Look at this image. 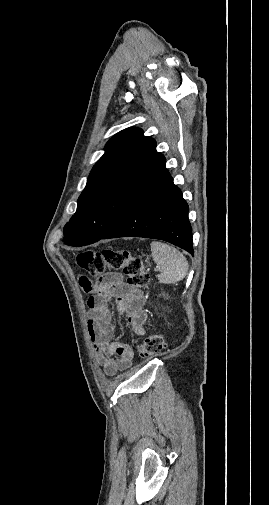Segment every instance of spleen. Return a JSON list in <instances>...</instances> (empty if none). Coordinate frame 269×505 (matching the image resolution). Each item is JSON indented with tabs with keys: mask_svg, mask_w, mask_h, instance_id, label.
I'll use <instances>...</instances> for the list:
<instances>
[{
	"mask_svg": "<svg viewBox=\"0 0 269 505\" xmlns=\"http://www.w3.org/2000/svg\"><path fill=\"white\" fill-rule=\"evenodd\" d=\"M150 246L153 261L161 268L160 283L176 284L187 275L189 264L179 250L160 241H152Z\"/></svg>",
	"mask_w": 269,
	"mask_h": 505,
	"instance_id": "3e777b00",
	"label": "spleen"
}]
</instances>
